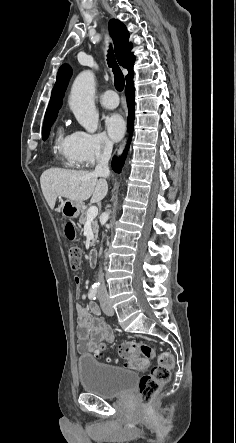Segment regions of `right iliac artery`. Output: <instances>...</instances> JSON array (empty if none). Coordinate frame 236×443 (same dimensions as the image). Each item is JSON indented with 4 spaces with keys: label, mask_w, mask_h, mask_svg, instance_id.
Listing matches in <instances>:
<instances>
[{
    "label": "right iliac artery",
    "mask_w": 236,
    "mask_h": 443,
    "mask_svg": "<svg viewBox=\"0 0 236 443\" xmlns=\"http://www.w3.org/2000/svg\"><path fill=\"white\" fill-rule=\"evenodd\" d=\"M97 295H98V287L97 286H92L90 288L89 294H88L89 299L95 300Z\"/></svg>",
    "instance_id": "82829eb1"
}]
</instances>
